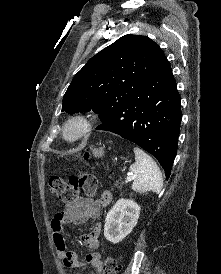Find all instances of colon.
<instances>
[{
	"instance_id": "1",
	"label": "colon",
	"mask_w": 221,
	"mask_h": 274,
	"mask_svg": "<svg viewBox=\"0 0 221 274\" xmlns=\"http://www.w3.org/2000/svg\"><path fill=\"white\" fill-rule=\"evenodd\" d=\"M122 187L121 183L117 184ZM49 188L51 192L63 201L70 203L75 200L80 192L88 196H93L97 190V180L93 175L83 174L71 176L65 180L61 176L53 175L49 178ZM118 264L112 255H109L103 264V274H117Z\"/></svg>"
}]
</instances>
